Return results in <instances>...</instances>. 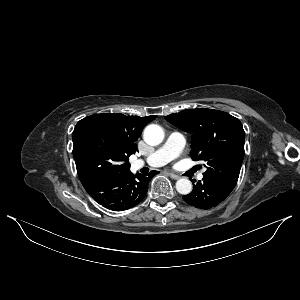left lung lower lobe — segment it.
<instances>
[{"mask_svg": "<svg viewBox=\"0 0 300 300\" xmlns=\"http://www.w3.org/2000/svg\"><path fill=\"white\" fill-rule=\"evenodd\" d=\"M193 191L183 196L189 205L196 208L209 209L222 202L234 189L235 186L216 178L203 177L202 181L194 184Z\"/></svg>", "mask_w": 300, "mask_h": 300, "instance_id": "0a47b994", "label": "left lung lower lobe"}]
</instances>
